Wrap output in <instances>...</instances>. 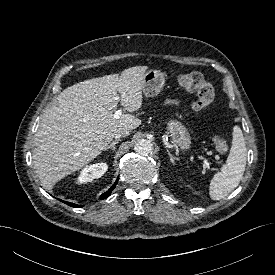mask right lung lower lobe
I'll return each instance as SVG.
<instances>
[{"mask_svg":"<svg viewBox=\"0 0 275 275\" xmlns=\"http://www.w3.org/2000/svg\"><path fill=\"white\" fill-rule=\"evenodd\" d=\"M117 182H118V179L115 181V183L111 186V188H110L108 191H106L105 193H103V194L101 195V199L107 198V197L110 195V193H111V192L114 190V188L116 187ZM65 203L68 204V205H70V206H72V207H74V208L80 207L79 205L73 204V203H70V202H65Z\"/></svg>","mask_w":275,"mask_h":275,"instance_id":"right-lung-lower-lobe-1","label":"right lung lower lobe"}]
</instances>
